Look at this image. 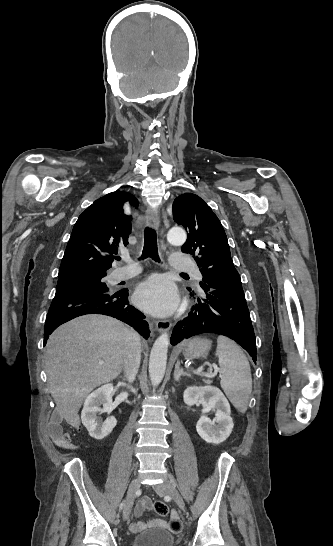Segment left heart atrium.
<instances>
[{"label": "left heart atrium", "instance_id": "left-heart-atrium-1", "mask_svg": "<svg viewBox=\"0 0 333 546\" xmlns=\"http://www.w3.org/2000/svg\"><path fill=\"white\" fill-rule=\"evenodd\" d=\"M136 303L155 316L171 314L177 307L178 296L172 282L164 276H152L135 290Z\"/></svg>", "mask_w": 333, "mask_h": 546}]
</instances>
